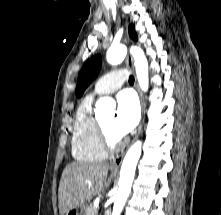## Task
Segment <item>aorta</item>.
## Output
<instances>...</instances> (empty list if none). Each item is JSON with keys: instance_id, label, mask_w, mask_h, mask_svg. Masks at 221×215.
<instances>
[{"instance_id": "obj_1", "label": "aorta", "mask_w": 221, "mask_h": 215, "mask_svg": "<svg viewBox=\"0 0 221 215\" xmlns=\"http://www.w3.org/2000/svg\"><path fill=\"white\" fill-rule=\"evenodd\" d=\"M130 52L134 58L136 76L142 91L146 92L149 86L148 61L140 47L132 46ZM127 54V47L123 44L112 45L106 54L107 62L112 65L120 64ZM107 106L114 107V101L108 97L100 98L96 103V109L102 110ZM142 142H135L124 157L120 170L119 189L115 195L112 215H120L125 202L130 194L135 175L136 165L141 156Z\"/></svg>"}]
</instances>
